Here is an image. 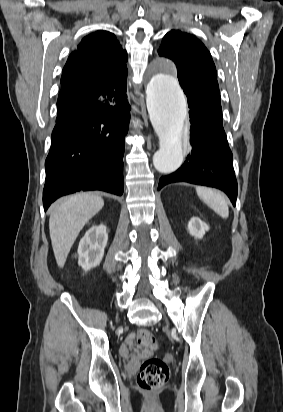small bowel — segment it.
I'll return each mask as SVG.
<instances>
[{"label": "small bowel", "mask_w": 283, "mask_h": 412, "mask_svg": "<svg viewBox=\"0 0 283 412\" xmlns=\"http://www.w3.org/2000/svg\"><path fill=\"white\" fill-rule=\"evenodd\" d=\"M119 353L122 357L131 361L139 360L147 355V352L135 342V335L129 334L125 343L120 347Z\"/></svg>", "instance_id": "1"}]
</instances>
